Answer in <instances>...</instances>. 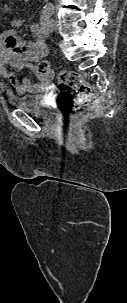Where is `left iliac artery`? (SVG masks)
Returning a JSON list of instances; mask_svg holds the SVG:
<instances>
[{"label":"left iliac artery","mask_w":127,"mask_h":303,"mask_svg":"<svg viewBox=\"0 0 127 303\" xmlns=\"http://www.w3.org/2000/svg\"><path fill=\"white\" fill-rule=\"evenodd\" d=\"M54 12V6L53 4L51 3H47L44 8H43V11H42V16H45V15H52Z\"/></svg>","instance_id":"1"}]
</instances>
